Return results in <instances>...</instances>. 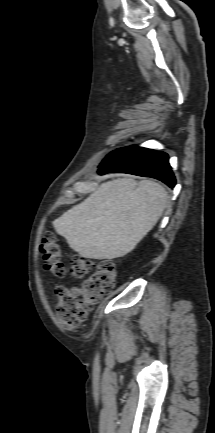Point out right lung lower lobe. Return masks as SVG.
Masks as SVG:
<instances>
[{"instance_id":"1","label":"right lung lower lobe","mask_w":215,"mask_h":433,"mask_svg":"<svg viewBox=\"0 0 215 433\" xmlns=\"http://www.w3.org/2000/svg\"><path fill=\"white\" fill-rule=\"evenodd\" d=\"M99 173H128L161 180L170 188L176 184L168 162V155L142 147L130 146L105 163L100 164Z\"/></svg>"}]
</instances>
